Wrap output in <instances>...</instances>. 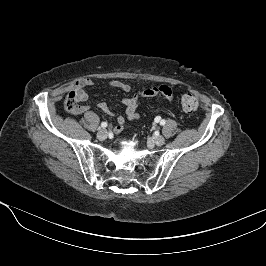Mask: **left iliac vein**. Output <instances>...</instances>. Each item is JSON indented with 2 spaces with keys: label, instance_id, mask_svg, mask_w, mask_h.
Returning a JSON list of instances; mask_svg holds the SVG:
<instances>
[{
  "label": "left iliac vein",
  "instance_id": "4c4485c4",
  "mask_svg": "<svg viewBox=\"0 0 266 266\" xmlns=\"http://www.w3.org/2000/svg\"><path fill=\"white\" fill-rule=\"evenodd\" d=\"M153 142L157 146H162L165 143V139L163 136H156L153 138Z\"/></svg>",
  "mask_w": 266,
  "mask_h": 266
}]
</instances>
